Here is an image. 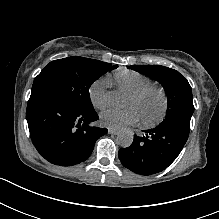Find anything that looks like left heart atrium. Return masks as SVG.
Wrapping results in <instances>:
<instances>
[{"mask_svg": "<svg viewBox=\"0 0 219 219\" xmlns=\"http://www.w3.org/2000/svg\"><path fill=\"white\" fill-rule=\"evenodd\" d=\"M140 118L139 111L133 106L126 109H108L100 115L101 123L105 127L117 130L137 123Z\"/></svg>", "mask_w": 219, "mask_h": 219, "instance_id": "1", "label": "left heart atrium"}]
</instances>
